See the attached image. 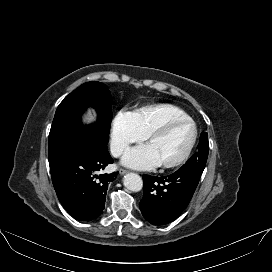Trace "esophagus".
<instances>
[{
	"instance_id": "esophagus-1",
	"label": "esophagus",
	"mask_w": 272,
	"mask_h": 272,
	"mask_svg": "<svg viewBox=\"0 0 272 272\" xmlns=\"http://www.w3.org/2000/svg\"><path fill=\"white\" fill-rule=\"evenodd\" d=\"M128 172H129L128 170H125V169H122V168L119 169V173H120L121 175H124V174H126V173H128Z\"/></svg>"
}]
</instances>
